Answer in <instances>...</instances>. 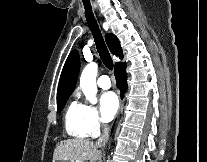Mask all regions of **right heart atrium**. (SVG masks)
Instances as JSON below:
<instances>
[{"label": "right heart atrium", "mask_w": 207, "mask_h": 162, "mask_svg": "<svg viewBox=\"0 0 207 162\" xmlns=\"http://www.w3.org/2000/svg\"><path fill=\"white\" fill-rule=\"evenodd\" d=\"M86 126L91 136L97 135L101 128L98 110L92 105H86Z\"/></svg>", "instance_id": "right-heart-atrium-1"}]
</instances>
